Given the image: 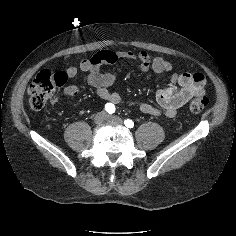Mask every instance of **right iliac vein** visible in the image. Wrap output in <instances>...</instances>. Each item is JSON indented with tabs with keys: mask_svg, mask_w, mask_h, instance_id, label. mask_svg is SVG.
<instances>
[{
	"mask_svg": "<svg viewBox=\"0 0 236 236\" xmlns=\"http://www.w3.org/2000/svg\"><path fill=\"white\" fill-rule=\"evenodd\" d=\"M106 117V113L104 111H101L95 115L94 122L96 124H102L106 120Z\"/></svg>",
	"mask_w": 236,
	"mask_h": 236,
	"instance_id": "1",
	"label": "right iliac vein"
}]
</instances>
